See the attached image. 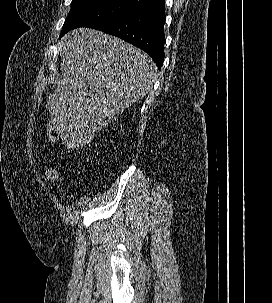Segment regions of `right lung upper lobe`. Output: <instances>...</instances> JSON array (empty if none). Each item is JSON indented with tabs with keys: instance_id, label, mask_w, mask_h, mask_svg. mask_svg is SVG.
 <instances>
[{
	"instance_id": "right-lung-upper-lobe-1",
	"label": "right lung upper lobe",
	"mask_w": 272,
	"mask_h": 303,
	"mask_svg": "<svg viewBox=\"0 0 272 303\" xmlns=\"http://www.w3.org/2000/svg\"><path fill=\"white\" fill-rule=\"evenodd\" d=\"M137 4L139 8H144L146 6L157 3L160 0H126Z\"/></svg>"
}]
</instances>
